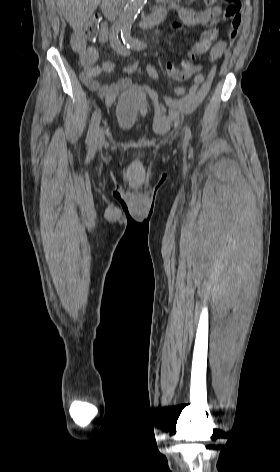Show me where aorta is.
Instances as JSON below:
<instances>
[{
    "label": "aorta",
    "instance_id": "aorta-1",
    "mask_svg": "<svg viewBox=\"0 0 280 472\" xmlns=\"http://www.w3.org/2000/svg\"><path fill=\"white\" fill-rule=\"evenodd\" d=\"M147 0H130L122 11L118 24L122 29H128L131 27L135 17L144 7Z\"/></svg>",
    "mask_w": 280,
    "mask_h": 472
}]
</instances>
